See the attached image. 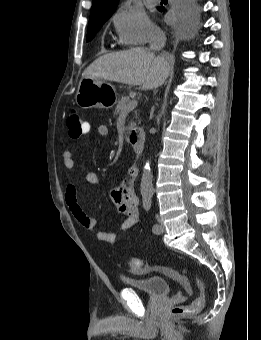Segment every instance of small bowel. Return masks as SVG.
I'll list each match as a JSON object with an SVG mask.
<instances>
[{
    "mask_svg": "<svg viewBox=\"0 0 261 340\" xmlns=\"http://www.w3.org/2000/svg\"><path fill=\"white\" fill-rule=\"evenodd\" d=\"M89 130L90 125L85 122V134L88 133ZM97 132L100 136L105 137L108 135L109 129L106 125L101 124L97 128ZM63 162L67 169H73L75 167L74 152L72 150L66 149L63 152ZM127 173L128 177L123 184L120 187L112 189L110 192L111 199L118 211L126 215V218L120 225L121 231L132 228L139 221L138 198L134 190V184L138 177V168L131 166ZM86 180L93 185L99 184L97 174L92 171L86 173ZM65 202L73 217L85 230H95L96 221L85 212L78 196L77 187L72 183L66 187ZM95 235L99 241L105 243H113L116 239V234L113 232L97 231ZM187 292L191 293L190 287L187 288Z\"/></svg>",
    "mask_w": 261,
    "mask_h": 340,
    "instance_id": "obj_1",
    "label": "small bowel"
}]
</instances>
